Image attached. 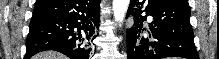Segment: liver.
Instances as JSON below:
<instances>
[{
    "label": "liver",
    "mask_w": 219,
    "mask_h": 59,
    "mask_svg": "<svg viewBox=\"0 0 219 59\" xmlns=\"http://www.w3.org/2000/svg\"><path fill=\"white\" fill-rule=\"evenodd\" d=\"M32 59H67L66 56L54 51H45L35 55Z\"/></svg>",
    "instance_id": "liver-1"
}]
</instances>
